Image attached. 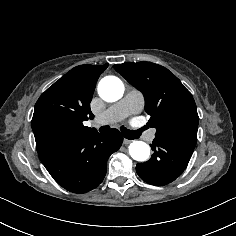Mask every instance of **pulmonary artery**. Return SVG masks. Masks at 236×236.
Segmentation results:
<instances>
[{"instance_id": "e3ab8cb5", "label": "pulmonary artery", "mask_w": 236, "mask_h": 236, "mask_svg": "<svg viewBox=\"0 0 236 236\" xmlns=\"http://www.w3.org/2000/svg\"><path fill=\"white\" fill-rule=\"evenodd\" d=\"M114 109H116V108H114ZM114 109H113V110H114ZM125 117H126V114L120 115V116L116 119V122L123 120ZM155 133H156V130H155V129L152 130V131H150V133L148 134L149 140L152 141V140L155 139Z\"/></svg>"}]
</instances>
